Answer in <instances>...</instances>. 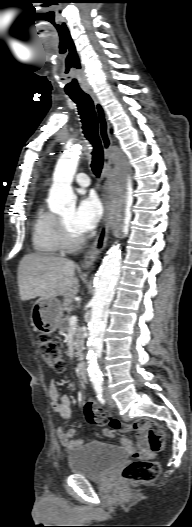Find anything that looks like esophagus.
<instances>
[{"label": "esophagus", "instance_id": "34e87169", "mask_svg": "<svg viewBox=\"0 0 192 527\" xmlns=\"http://www.w3.org/2000/svg\"><path fill=\"white\" fill-rule=\"evenodd\" d=\"M87 93L92 98L95 106V111L98 120V131L104 151V164L101 174V198L104 205V216L100 231L83 257L82 267L89 269L94 266L98 256L102 253L108 240L109 234V172L111 169L112 157V138L109 132V123L106 117L105 110L100 103L94 91L88 90Z\"/></svg>", "mask_w": 192, "mask_h": 527}]
</instances>
